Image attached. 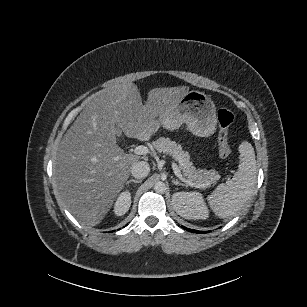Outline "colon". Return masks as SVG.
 Segmentation results:
<instances>
[{"instance_id": "1", "label": "colon", "mask_w": 307, "mask_h": 307, "mask_svg": "<svg viewBox=\"0 0 307 307\" xmlns=\"http://www.w3.org/2000/svg\"><path fill=\"white\" fill-rule=\"evenodd\" d=\"M234 121L233 113L228 109H220L218 111V123H219V154L223 158H227L231 155L232 150L228 143V130Z\"/></svg>"}]
</instances>
